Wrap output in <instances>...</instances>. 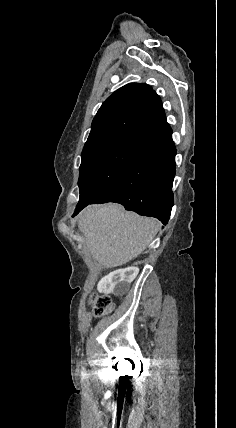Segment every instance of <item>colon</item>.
Wrapping results in <instances>:
<instances>
[{"label":"colon","mask_w":236,"mask_h":428,"mask_svg":"<svg viewBox=\"0 0 236 428\" xmlns=\"http://www.w3.org/2000/svg\"><path fill=\"white\" fill-rule=\"evenodd\" d=\"M89 302L96 316H104L114 309L113 301L107 296L91 295L89 297Z\"/></svg>","instance_id":"1"}]
</instances>
